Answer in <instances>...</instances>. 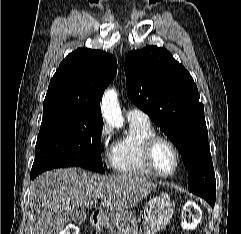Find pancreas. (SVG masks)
Returning <instances> with one entry per match:
<instances>
[{
    "label": "pancreas",
    "instance_id": "cf45deb5",
    "mask_svg": "<svg viewBox=\"0 0 241 234\" xmlns=\"http://www.w3.org/2000/svg\"><path fill=\"white\" fill-rule=\"evenodd\" d=\"M110 232H111L110 234H121L117 231V229H114V228H112Z\"/></svg>",
    "mask_w": 241,
    "mask_h": 234
}]
</instances>
